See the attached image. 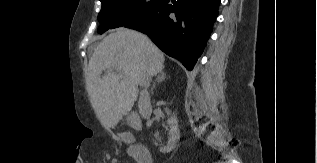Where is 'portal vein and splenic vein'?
Masks as SVG:
<instances>
[{
    "label": "portal vein and splenic vein",
    "mask_w": 317,
    "mask_h": 163,
    "mask_svg": "<svg viewBox=\"0 0 317 163\" xmlns=\"http://www.w3.org/2000/svg\"><path fill=\"white\" fill-rule=\"evenodd\" d=\"M114 68L118 73H121V67L119 65H115Z\"/></svg>",
    "instance_id": "obj_1"
}]
</instances>
